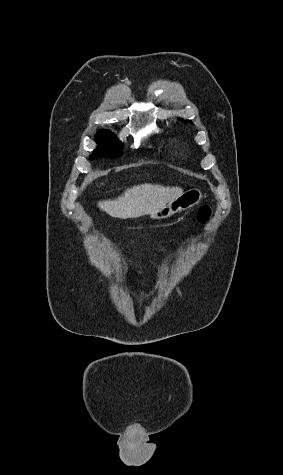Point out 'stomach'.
I'll return each mask as SVG.
<instances>
[{"label": "stomach", "instance_id": "1", "mask_svg": "<svg viewBox=\"0 0 283 475\" xmlns=\"http://www.w3.org/2000/svg\"><path fill=\"white\" fill-rule=\"evenodd\" d=\"M202 200V192L200 190H188V192H184L182 196L176 198V200H172L160 210H156V212H151L149 214L151 220H164V218H170L173 214H177V212H184V210H189V208H193L196 204H199Z\"/></svg>", "mask_w": 283, "mask_h": 475}]
</instances>
